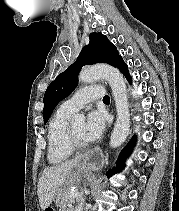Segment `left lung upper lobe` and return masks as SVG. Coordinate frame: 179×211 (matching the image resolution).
<instances>
[{"instance_id":"obj_1","label":"left lung upper lobe","mask_w":179,"mask_h":211,"mask_svg":"<svg viewBox=\"0 0 179 211\" xmlns=\"http://www.w3.org/2000/svg\"><path fill=\"white\" fill-rule=\"evenodd\" d=\"M122 60L116 47L110 43L102 33H91L90 42L85 46L77 61L70 65L64 72L48 86L44 95L43 118L47 122L50 114L57 104L70 95L78 84V74L84 65L95 63H108L114 67Z\"/></svg>"}]
</instances>
